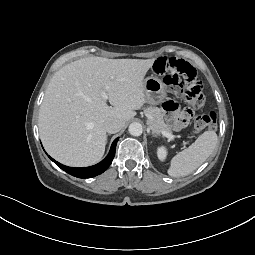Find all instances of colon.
I'll use <instances>...</instances> for the list:
<instances>
[{
    "label": "colon",
    "mask_w": 255,
    "mask_h": 255,
    "mask_svg": "<svg viewBox=\"0 0 255 255\" xmlns=\"http://www.w3.org/2000/svg\"><path fill=\"white\" fill-rule=\"evenodd\" d=\"M153 70L156 74L164 76V82L171 92L182 96L188 106L183 111L185 115L190 116L193 108H199L204 104L202 81L187 61L175 57H162L154 63ZM216 119L214 111L197 116L193 122V131L200 133L213 127Z\"/></svg>",
    "instance_id": "1"
}]
</instances>
